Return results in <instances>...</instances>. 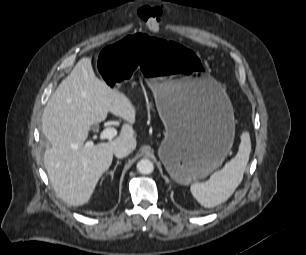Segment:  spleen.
Masks as SVG:
<instances>
[{"label":"spleen","mask_w":306,"mask_h":255,"mask_svg":"<svg viewBox=\"0 0 306 255\" xmlns=\"http://www.w3.org/2000/svg\"><path fill=\"white\" fill-rule=\"evenodd\" d=\"M251 142L248 132L241 135V143L236 156L221 170L214 172L203 183H193L190 187L194 198L204 207L212 208L225 202L239 186L249 160Z\"/></svg>","instance_id":"3e777b00"}]
</instances>
